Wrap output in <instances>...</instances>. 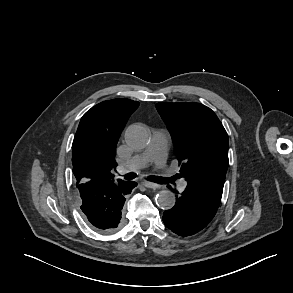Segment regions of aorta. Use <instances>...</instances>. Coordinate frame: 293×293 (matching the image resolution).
I'll return each mask as SVG.
<instances>
[{"instance_id": "obj_1", "label": "aorta", "mask_w": 293, "mask_h": 293, "mask_svg": "<svg viewBox=\"0 0 293 293\" xmlns=\"http://www.w3.org/2000/svg\"><path fill=\"white\" fill-rule=\"evenodd\" d=\"M125 139L130 147L142 149L149 141V132L143 125H131L126 131ZM175 201V194L170 190H162L156 195V203L163 210L173 208Z\"/></svg>"}]
</instances>
